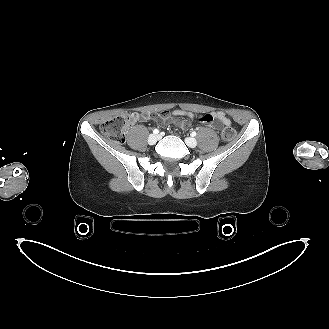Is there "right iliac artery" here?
<instances>
[{
    "label": "right iliac artery",
    "mask_w": 329,
    "mask_h": 329,
    "mask_svg": "<svg viewBox=\"0 0 329 329\" xmlns=\"http://www.w3.org/2000/svg\"><path fill=\"white\" fill-rule=\"evenodd\" d=\"M153 133L156 135V134L159 133V130H158V129H154V130H153Z\"/></svg>",
    "instance_id": "obj_1"
}]
</instances>
